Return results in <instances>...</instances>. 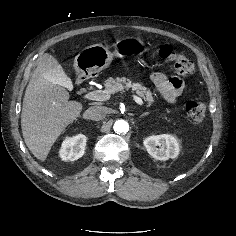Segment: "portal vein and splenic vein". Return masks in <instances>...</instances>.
Listing matches in <instances>:
<instances>
[{
    "label": "portal vein and splenic vein",
    "instance_id": "1",
    "mask_svg": "<svg viewBox=\"0 0 236 236\" xmlns=\"http://www.w3.org/2000/svg\"><path fill=\"white\" fill-rule=\"evenodd\" d=\"M84 98L88 100H93V101H105L110 98V95L107 94L105 91L96 90V91L88 92L87 94H85ZM133 100L137 104L143 105V100L140 97L133 95Z\"/></svg>",
    "mask_w": 236,
    "mask_h": 236
}]
</instances>
